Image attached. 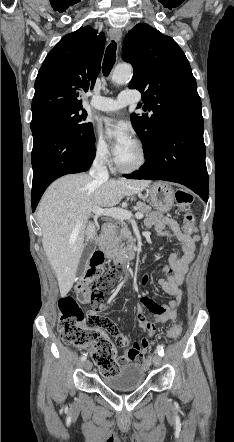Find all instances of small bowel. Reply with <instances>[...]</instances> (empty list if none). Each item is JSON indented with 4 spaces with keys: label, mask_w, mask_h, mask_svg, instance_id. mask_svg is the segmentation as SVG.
I'll return each instance as SVG.
<instances>
[{
    "label": "small bowel",
    "mask_w": 234,
    "mask_h": 442,
    "mask_svg": "<svg viewBox=\"0 0 234 442\" xmlns=\"http://www.w3.org/2000/svg\"><path fill=\"white\" fill-rule=\"evenodd\" d=\"M145 224L148 227H154L156 232L161 237H171L178 241L182 248V255L172 254L169 257L168 263H164L161 267L163 273H165V279H159L158 285L160 288L174 299L168 304L161 305V311L154 314H137L135 316V325L148 330V336L151 337L154 334L156 326L160 323H164L170 320H174L177 317V310L181 303L182 291L181 285L184 281L185 274L189 270L191 263L193 262L197 250L198 236L196 234V227H193V234L185 233L178 220L170 217L162 216L158 212L151 213L145 220ZM170 227L171 231L166 230V227ZM148 280L147 275L142 278V285H146ZM143 297L141 299V304ZM107 308L103 305L99 312L104 311ZM89 328H97L99 331H108L109 336L115 337L116 343L119 344L120 349L125 350L124 355L121 357V362L124 363V367L127 370H136L142 367V360L145 359L144 355L149 346V338H143L139 343H134L129 346V341L126 336H123L121 331L116 328V323L107 314H88L87 316ZM148 328V329H147Z\"/></svg>",
    "instance_id": "obj_1"
}]
</instances>
